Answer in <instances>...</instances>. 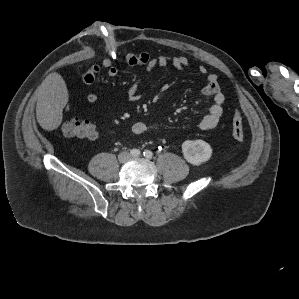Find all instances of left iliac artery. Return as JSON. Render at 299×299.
Masks as SVG:
<instances>
[{
    "label": "left iliac artery",
    "instance_id": "1",
    "mask_svg": "<svg viewBox=\"0 0 299 299\" xmlns=\"http://www.w3.org/2000/svg\"><path fill=\"white\" fill-rule=\"evenodd\" d=\"M143 155H144L146 158L151 159L152 156H153V153H152L150 150H145V151L143 152Z\"/></svg>",
    "mask_w": 299,
    "mask_h": 299
}]
</instances>
